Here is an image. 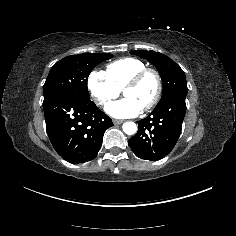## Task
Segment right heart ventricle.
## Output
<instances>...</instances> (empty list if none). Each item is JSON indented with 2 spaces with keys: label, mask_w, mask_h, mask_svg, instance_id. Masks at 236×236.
Instances as JSON below:
<instances>
[{
  "label": "right heart ventricle",
  "mask_w": 236,
  "mask_h": 236,
  "mask_svg": "<svg viewBox=\"0 0 236 236\" xmlns=\"http://www.w3.org/2000/svg\"><path fill=\"white\" fill-rule=\"evenodd\" d=\"M145 63L134 57H123L106 66L105 73L115 87L122 90L126 81L139 70L145 68Z\"/></svg>",
  "instance_id": "obj_1"
}]
</instances>
